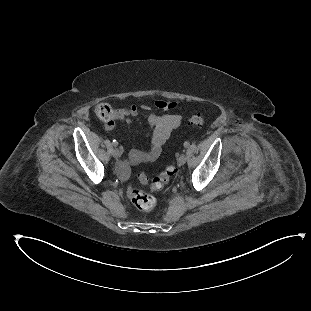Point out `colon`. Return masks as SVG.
I'll list each match as a JSON object with an SVG mask.
<instances>
[{"label": "colon", "mask_w": 311, "mask_h": 311, "mask_svg": "<svg viewBox=\"0 0 311 311\" xmlns=\"http://www.w3.org/2000/svg\"><path fill=\"white\" fill-rule=\"evenodd\" d=\"M94 114L104 122L109 121L116 115V112L109 104L99 103L93 108ZM188 122L195 127H203L205 124L204 115L199 112L193 114ZM176 173V167L169 164L158 176L148 179L146 176L141 177V182L147 184L152 190H162ZM125 192L131 202L141 211H151L156 205V199L149 194L138 189L133 182H127Z\"/></svg>", "instance_id": "1"}]
</instances>
